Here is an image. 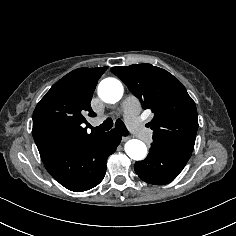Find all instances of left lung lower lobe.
<instances>
[{"mask_svg":"<svg viewBox=\"0 0 236 236\" xmlns=\"http://www.w3.org/2000/svg\"><path fill=\"white\" fill-rule=\"evenodd\" d=\"M191 154L168 143L153 141L148 156L136 162L134 169L143 181L164 185L180 174Z\"/></svg>","mask_w":236,"mask_h":236,"instance_id":"1","label":"left lung lower lobe"}]
</instances>
